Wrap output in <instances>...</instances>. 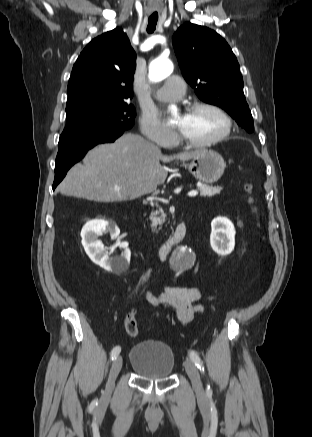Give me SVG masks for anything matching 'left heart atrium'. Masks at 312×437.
I'll list each match as a JSON object with an SVG mask.
<instances>
[{"instance_id": "1", "label": "left heart atrium", "mask_w": 312, "mask_h": 437, "mask_svg": "<svg viewBox=\"0 0 312 437\" xmlns=\"http://www.w3.org/2000/svg\"><path fill=\"white\" fill-rule=\"evenodd\" d=\"M184 118H185V115L182 116L181 122H180V124H179V128H180V129L182 128Z\"/></svg>"}]
</instances>
